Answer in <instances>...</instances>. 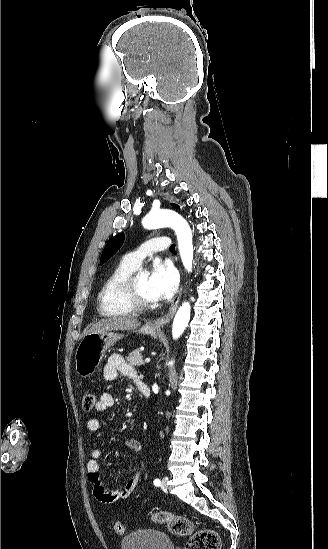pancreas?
Segmentation results:
<instances>
[{"label": "pancreas", "instance_id": "obj_1", "mask_svg": "<svg viewBox=\"0 0 328 549\" xmlns=\"http://www.w3.org/2000/svg\"><path fill=\"white\" fill-rule=\"evenodd\" d=\"M126 359L128 363H130V365H136V367H141V365H144L141 351H132V353H129Z\"/></svg>", "mask_w": 328, "mask_h": 549}]
</instances>
